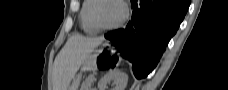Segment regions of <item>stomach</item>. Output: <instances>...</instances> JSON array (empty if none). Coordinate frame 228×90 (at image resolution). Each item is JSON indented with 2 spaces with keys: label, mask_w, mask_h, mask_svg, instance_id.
Here are the masks:
<instances>
[{
  "label": "stomach",
  "mask_w": 228,
  "mask_h": 90,
  "mask_svg": "<svg viewBox=\"0 0 228 90\" xmlns=\"http://www.w3.org/2000/svg\"><path fill=\"white\" fill-rule=\"evenodd\" d=\"M118 61V56L114 50H111L110 54H106L102 49L96 50L85 59L81 67V72L74 79L72 84L69 86L68 90H78V86L81 79L82 72L93 71L98 68H103L107 65H116Z\"/></svg>",
  "instance_id": "1"
}]
</instances>
